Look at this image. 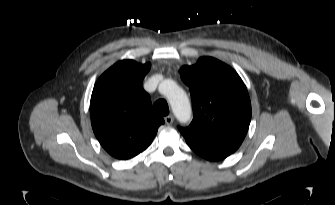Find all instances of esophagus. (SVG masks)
<instances>
[{
    "instance_id": "34e87169",
    "label": "esophagus",
    "mask_w": 335,
    "mask_h": 205,
    "mask_svg": "<svg viewBox=\"0 0 335 205\" xmlns=\"http://www.w3.org/2000/svg\"><path fill=\"white\" fill-rule=\"evenodd\" d=\"M164 120H165V123L167 125H171L173 123V121H174V117H173V115L170 114V115L166 116L164 118Z\"/></svg>"
}]
</instances>
